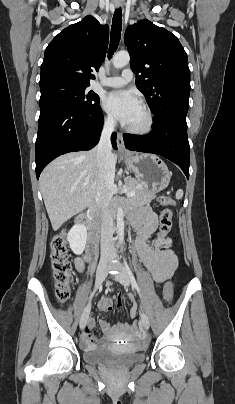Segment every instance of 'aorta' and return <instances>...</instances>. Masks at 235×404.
<instances>
[{"instance_id":"1","label":"aorta","mask_w":235,"mask_h":404,"mask_svg":"<svg viewBox=\"0 0 235 404\" xmlns=\"http://www.w3.org/2000/svg\"><path fill=\"white\" fill-rule=\"evenodd\" d=\"M130 62V55L127 51H119L113 57V66L116 69H120L126 66ZM117 232L119 240L122 242L124 239V221H123V209L121 206L117 209Z\"/></svg>"}]
</instances>
